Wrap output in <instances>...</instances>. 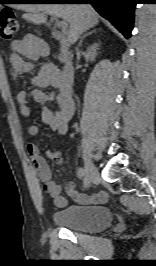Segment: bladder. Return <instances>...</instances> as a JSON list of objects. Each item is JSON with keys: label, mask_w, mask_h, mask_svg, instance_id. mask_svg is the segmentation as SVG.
Masks as SVG:
<instances>
[{"label": "bladder", "mask_w": 156, "mask_h": 266, "mask_svg": "<svg viewBox=\"0 0 156 266\" xmlns=\"http://www.w3.org/2000/svg\"><path fill=\"white\" fill-rule=\"evenodd\" d=\"M55 224L73 231L97 232L113 223L111 211L103 206L70 205L53 213Z\"/></svg>", "instance_id": "1"}]
</instances>
